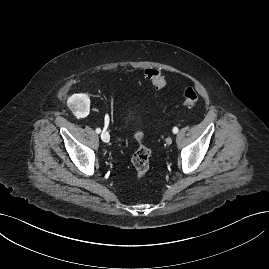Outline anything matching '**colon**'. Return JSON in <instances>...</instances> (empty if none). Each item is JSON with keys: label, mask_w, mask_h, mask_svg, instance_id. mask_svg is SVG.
<instances>
[{"label": "colon", "mask_w": 269, "mask_h": 269, "mask_svg": "<svg viewBox=\"0 0 269 269\" xmlns=\"http://www.w3.org/2000/svg\"><path fill=\"white\" fill-rule=\"evenodd\" d=\"M146 78L156 89H161L166 85V80L160 71L156 69H148L145 71ZM198 95L193 87H188L184 91L183 106L186 108L194 107L197 104ZM138 148L133 154L132 165L136 177L142 179L147 174L150 167L151 150L144 144V136L142 132L135 134Z\"/></svg>", "instance_id": "5ec220e1"}]
</instances>
